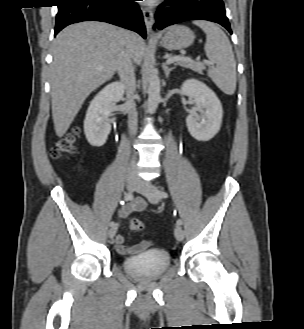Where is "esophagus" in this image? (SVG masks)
<instances>
[{
  "mask_svg": "<svg viewBox=\"0 0 304 329\" xmlns=\"http://www.w3.org/2000/svg\"><path fill=\"white\" fill-rule=\"evenodd\" d=\"M143 18L146 26V30L149 36H153V24H154V15L153 11L148 7L142 8Z\"/></svg>",
  "mask_w": 304,
  "mask_h": 329,
  "instance_id": "34e87169",
  "label": "esophagus"
}]
</instances>
